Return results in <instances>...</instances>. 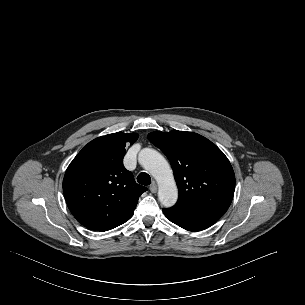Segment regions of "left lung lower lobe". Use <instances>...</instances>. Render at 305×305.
<instances>
[{
    "mask_svg": "<svg viewBox=\"0 0 305 305\" xmlns=\"http://www.w3.org/2000/svg\"><path fill=\"white\" fill-rule=\"evenodd\" d=\"M163 212L171 222L189 231L204 230L223 215V213L190 214L171 209H163Z\"/></svg>",
    "mask_w": 305,
    "mask_h": 305,
    "instance_id": "obj_1",
    "label": "left lung lower lobe"
}]
</instances>
